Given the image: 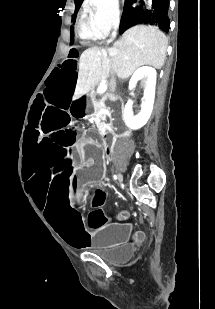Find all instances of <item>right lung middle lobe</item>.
<instances>
[{
    "label": "right lung middle lobe",
    "mask_w": 215,
    "mask_h": 309,
    "mask_svg": "<svg viewBox=\"0 0 215 309\" xmlns=\"http://www.w3.org/2000/svg\"><path fill=\"white\" fill-rule=\"evenodd\" d=\"M83 0H78V2L75 3V14H74V18L76 17V14L80 8V5L82 3ZM132 0H127V2L125 3L124 7H126ZM73 42V28H71V43Z\"/></svg>",
    "instance_id": "obj_1"
}]
</instances>
